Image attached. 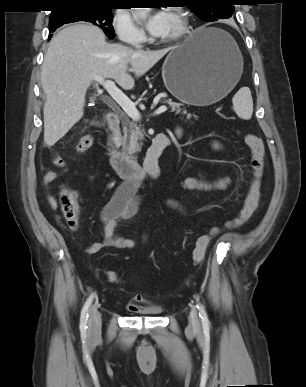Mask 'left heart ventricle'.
I'll return each mask as SVG.
<instances>
[{"instance_id": "1", "label": "left heart ventricle", "mask_w": 306, "mask_h": 387, "mask_svg": "<svg viewBox=\"0 0 306 387\" xmlns=\"http://www.w3.org/2000/svg\"><path fill=\"white\" fill-rule=\"evenodd\" d=\"M168 18H169V29L165 37L170 36L177 29V25H178V19L170 12H168Z\"/></svg>"}]
</instances>
